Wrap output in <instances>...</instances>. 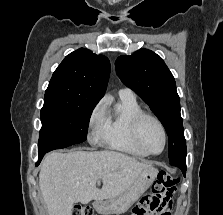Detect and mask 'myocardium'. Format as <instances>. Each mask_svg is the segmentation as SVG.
I'll return each instance as SVG.
<instances>
[{
    "instance_id": "1",
    "label": "myocardium",
    "mask_w": 223,
    "mask_h": 215,
    "mask_svg": "<svg viewBox=\"0 0 223 215\" xmlns=\"http://www.w3.org/2000/svg\"><path fill=\"white\" fill-rule=\"evenodd\" d=\"M145 120H151L154 123H156V125L159 127V129L161 131L162 147L158 152L150 153V152H145L141 149L140 140H139V133H140L141 125ZM132 136H133V141H134L135 145L140 150V153L143 156H158L163 152V150L165 148V145H166V131H165V128H164L163 124L161 123V121L158 118H156L155 116L150 115L148 113H145V112L140 113L135 118V120L133 122V126H132Z\"/></svg>"
}]
</instances>
